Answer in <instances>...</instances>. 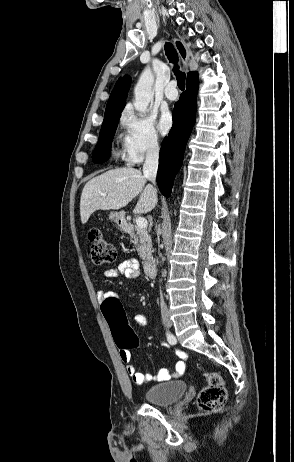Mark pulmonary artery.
Instances as JSON below:
<instances>
[{"label":"pulmonary artery","mask_w":294,"mask_h":462,"mask_svg":"<svg viewBox=\"0 0 294 462\" xmlns=\"http://www.w3.org/2000/svg\"><path fill=\"white\" fill-rule=\"evenodd\" d=\"M165 98L169 101H175L178 98V93L176 90V82H170L164 91Z\"/></svg>","instance_id":"e3ab8cb5"}]
</instances>
